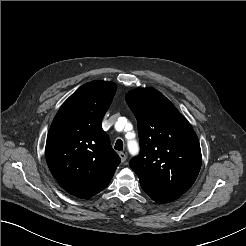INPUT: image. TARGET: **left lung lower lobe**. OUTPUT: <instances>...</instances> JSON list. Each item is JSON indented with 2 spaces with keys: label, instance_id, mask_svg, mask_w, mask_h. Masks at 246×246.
Here are the masks:
<instances>
[{
  "label": "left lung lower lobe",
  "instance_id": "obj_1",
  "mask_svg": "<svg viewBox=\"0 0 246 246\" xmlns=\"http://www.w3.org/2000/svg\"><path fill=\"white\" fill-rule=\"evenodd\" d=\"M143 190L156 202L168 203L179 198L180 195L162 190L149 183L140 182Z\"/></svg>",
  "mask_w": 246,
  "mask_h": 246
}]
</instances>
